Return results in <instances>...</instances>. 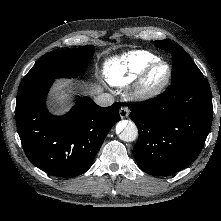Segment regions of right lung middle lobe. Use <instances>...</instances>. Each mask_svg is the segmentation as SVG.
Instances as JSON below:
<instances>
[{
    "mask_svg": "<svg viewBox=\"0 0 221 221\" xmlns=\"http://www.w3.org/2000/svg\"><path fill=\"white\" fill-rule=\"evenodd\" d=\"M93 50L89 45L45 54L25 75L19 89L46 80L77 77L91 59Z\"/></svg>",
    "mask_w": 221,
    "mask_h": 221,
    "instance_id": "1",
    "label": "right lung middle lobe"
}]
</instances>
